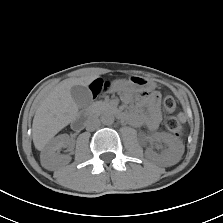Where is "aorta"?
Masks as SVG:
<instances>
[{"label": "aorta", "mask_w": 223, "mask_h": 223, "mask_svg": "<svg viewBox=\"0 0 223 223\" xmlns=\"http://www.w3.org/2000/svg\"><path fill=\"white\" fill-rule=\"evenodd\" d=\"M114 120V115L111 113H105L101 116V122L107 126L112 125L114 123Z\"/></svg>", "instance_id": "762f6f07"}]
</instances>
